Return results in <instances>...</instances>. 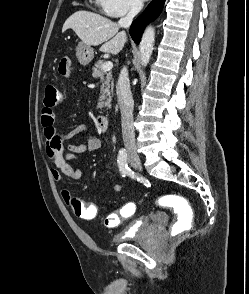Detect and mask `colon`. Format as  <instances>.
Returning a JSON list of instances; mask_svg holds the SVG:
<instances>
[{"instance_id": "5ec220e1", "label": "colon", "mask_w": 249, "mask_h": 294, "mask_svg": "<svg viewBox=\"0 0 249 294\" xmlns=\"http://www.w3.org/2000/svg\"><path fill=\"white\" fill-rule=\"evenodd\" d=\"M70 60L68 58H63L59 64L58 70L62 76H65L69 71ZM61 92L58 87L48 84L45 87V97L44 104L47 106H55L61 101ZM163 204H170L173 208H176L181 216L179 219L172 225L171 233L173 236H177L180 233L187 231L192 226V217H191V206L187 199L179 196L167 195L160 200ZM71 206L76 216L78 217H89L93 218L95 216V210L89 208V204L78 199L73 198ZM135 205L129 203L124 207L123 216H131L135 212ZM189 211L190 214L186 216L184 212ZM115 222V220H112Z\"/></svg>"}]
</instances>
